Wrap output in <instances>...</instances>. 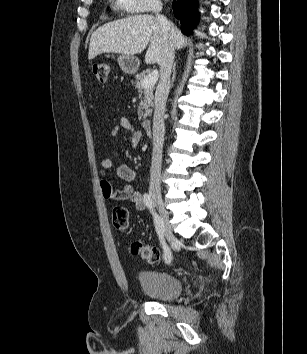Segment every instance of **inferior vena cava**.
<instances>
[{
    "mask_svg": "<svg viewBox=\"0 0 307 354\" xmlns=\"http://www.w3.org/2000/svg\"><path fill=\"white\" fill-rule=\"evenodd\" d=\"M161 10V4H155L152 7V11L155 13L161 29L163 50L159 62L160 81L155 93V110L153 116V152L149 183V191L159 194L161 192L160 176L165 131L164 114L166 101L170 90V75L174 60V45L172 40L173 36L171 32V24L166 18L160 15Z\"/></svg>",
    "mask_w": 307,
    "mask_h": 354,
    "instance_id": "602c4592",
    "label": "inferior vena cava"
}]
</instances>
